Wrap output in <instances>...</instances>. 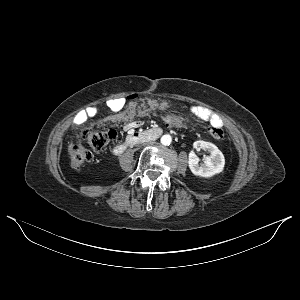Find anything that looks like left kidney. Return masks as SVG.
Here are the masks:
<instances>
[{"label": "left kidney", "instance_id": "5707ae66", "mask_svg": "<svg viewBox=\"0 0 300 300\" xmlns=\"http://www.w3.org/2000/svg\"><path fill=\"white\" fill-rule=\"evenodd\" d=\"M193 147L195 149L202 148L210 153V156L206 157L202 164H199V158L193 151L189 153L188 164L194 175L210 178L223 171L225 159L217 146L213 143L199 140L193 143Z\"/></svg>", "mask_w": 300, "mask_h": 300}]
</instances>
